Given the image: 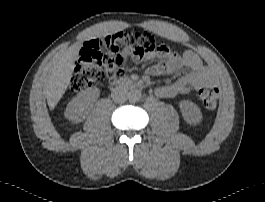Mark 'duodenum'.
Returning <instances> with one entry per match:
<instances>
[{"label": "duodenum", "instance_id": "1", "mask_svg": "<svg viewBox=\"0 0 265 202\" xmlns=\"http://www.w3.org/2000/svg\"><path fill=\"white\" fill-rule=\"evenodd\" d=\"M138 86H140L139 81L132 80L126 77L115 78L110 82V89L114 92H119L125 88L131 89Z\"/></svg>", "mask_w": 265, "mask_h": 202}]
</instances>
